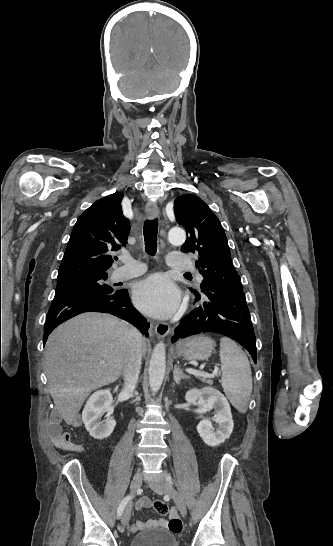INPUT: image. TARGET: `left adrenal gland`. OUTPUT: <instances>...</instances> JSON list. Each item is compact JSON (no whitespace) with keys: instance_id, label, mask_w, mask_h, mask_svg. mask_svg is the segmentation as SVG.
<instances>
[{"instance_id":"left-adrenal-gland-1","label":"left adrenal gland","mask_w":333,"mask_h":546,"mask_svg":"<svg viewBox=\"0 0 333 546\" xmlns=\"http://www.w3.org/2000/svg\"><path fill=\"white\" fill-rule=\"evenodd\" d=\"M173 378L176 384H180L182 379H189L190 377L187 376L180 370L179 366L175 365L173 370Z\"/></svg>"}]
</instances>
